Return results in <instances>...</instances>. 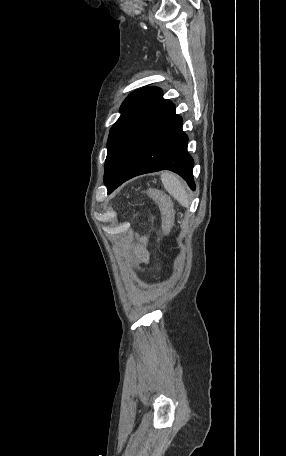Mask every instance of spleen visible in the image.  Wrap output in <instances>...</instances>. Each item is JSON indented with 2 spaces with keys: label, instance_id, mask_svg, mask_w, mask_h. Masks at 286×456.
Masks as SVG:
<instances>
[{
  "label": "spleen",
  "instance_id": "spleen-1",
  "mask_svg": "<svg viewBox=\"0 0 286 456\" xmlns=\"http://www.w3.org/2000/svg\"><path fill=\"white\" fill-rule=\"evenodd\" d=\"M161 180L166 191L172 195L183 207L188 208L189 197L184 182L174 173H161Z\"/></svg>",
  "mask_w": 286,
  "mask_h": 456
}]
</instances>
